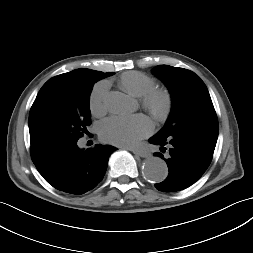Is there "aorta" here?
<instances>
[{
	"label": "aorta",
	"instance_id": "aorta-1",
	"mask_svg": "<svg viewBox=\"0 0 253 253\" xmlns=\"http://www.w3.org/2000/svg\"><path fill=\"white\" fill-rule=\"evenodd\" d=\"M106 106L113 112L124 113L131 108V99L119 91L110 92L106 98ZM144 178L153 183L164 181L168 175L166 163L159 157L147 158L142 166Z\"/></svg>",
	"mask_w": 253,
	"mask_h": 253
}]
</instances>
